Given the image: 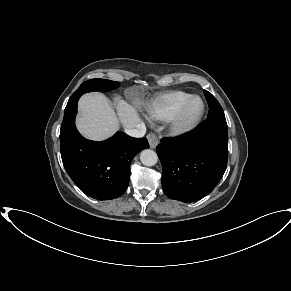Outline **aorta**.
I'll return each instance as SVG.
<instances>
[{
	"label": "aorta",
	"instance_id": "aorta-1",
	"mask_svg": "<svg viewBox=\"0 0 291 291\" xmlns=\"http://www.w3.org/2000/svg\"><path fill=\"white\" fill-rule=\"evenodd\" d=\"M140 160L145 166H154L158 161V156L153 150L145 149L140 154Z\"/></svg>",
	"mask_w": 291,
	"mask_h": 291
}]
</instances>
